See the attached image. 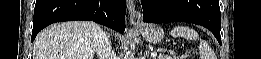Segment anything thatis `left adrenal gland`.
Wrapping results in <instances>:
<instances>
[{
  "instance_id": "left-adrenal-gland-1",
  "label": "left adrenal gland",
  "mask_w": 261,
  "mask_h": 59,
  "mask_svg": "<svg viewBox=\"0 0 261 59\" xmlns=\"http://www.w3.org/2000/svg\"><path fill=\"white\" fill-rule=\"evenodd\" d=\"M145 56H148L147 52H146Z\"/></svg>"
}]
</instances>
